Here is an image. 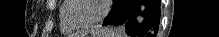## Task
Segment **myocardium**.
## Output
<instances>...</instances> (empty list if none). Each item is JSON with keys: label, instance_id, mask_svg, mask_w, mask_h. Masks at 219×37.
<instances>
[{"label": "myocardium", "instance_id": "myocardium-1", "mask_svg": "<svg viewBox=\"0 0 219 37\" xmlns=\"http://www.w3.org/2000/svg\"><path fill=\"white\" fill-rule=\"evenodd\" d=\"M66 2L69 4V8L64 12V18L70 26L79 29L92 27L100 23L107 15V12L109 10V3H110L109 0H101V11L97 17L87 22L76 23L69 18V13L75 7V0H67Z\"/></svg>", "mask_w": 219, "mask_h": 37}]
</instances>
